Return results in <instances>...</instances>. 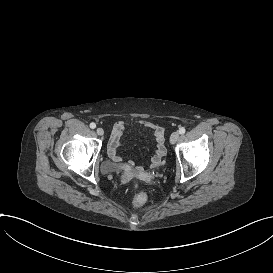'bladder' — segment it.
<instances>
[{"label":"bladder","mask_w":273,"mask_h":273,"mask_svg":"<svg viewBox=\"0 0 273 273\" xmlns=\"http://www.w3.org/2000/svg\"><path fill=\"white\" fill-rule=\"evenodd\" d=\"M101 168L104 174H113L120 171L122 166L120 163L112 159H107L102 163Z\"/></svg>","instance_id":"bladder-1"}]
</instances>
